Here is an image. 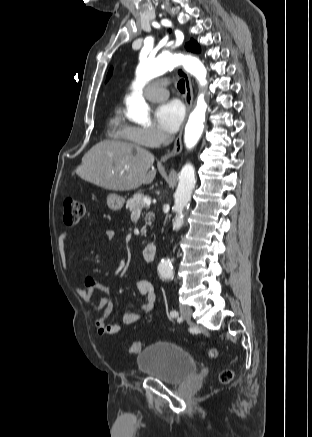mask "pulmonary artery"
<instances>
[{
	"mask_svg": "<svg viewBox=\"0 0 312 437\" xmlns=\"http://www.w3.org/2000/svg\"><path fill=\"white\" fill-rule=\"evenodd\" d=\"M167 81L160 79L150 82L144 88V95L151 101H161L168 97V90L166 88Z\"/></svg>",
	"mask_w": 312,
	"mask_h": 437,
	"instance_id": "obj_1",
	"label": "pulmonary artery"
}]
</instances>
